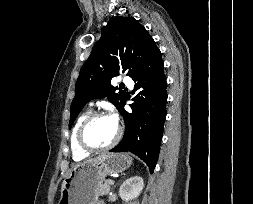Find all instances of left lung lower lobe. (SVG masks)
Masks as SVG:
<instances>
[{
	"instance_id": "0a47b994",
	"label": "left lung lower lobe",
	"mask_w": 253,
	"mask_h": 204,
	"mask_svg": "<svg viewBox=\"0 0 253 204\" xmlns=\"http://www.w3.org/2000/svg\"><path fill=\"white\" fill-rule=\"evenodd\" d=\"M160 50L154 45L140 69L132 77L134 91L140 90L131 104L132 113L119 110L125 121V133L121 142L111 152H132L148 165L151 173L156 166L163 125L166 119V76Z\"/></svg>"
}]
</instances>
